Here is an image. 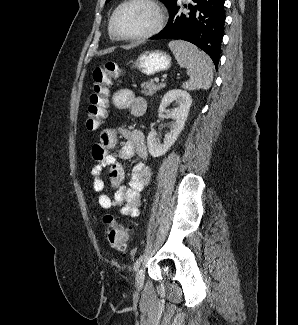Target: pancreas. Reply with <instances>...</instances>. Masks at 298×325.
I'll return each mask as SVG.
<instances>
[{"label": "pancreas", "instance_id": "pancreas-1", "mask_svg": "<svg viewBox=\"0 0 298 325\" xmlns=\"http://www.w3.org/2000/svg\"><path fill=\"white\" fill-rule=\"evenodd\" d=\"M165 82H154V80H149V82H142L141 84V94L143 96H153L157 90H161V88H165Z\"/></svg>", "mask_w": 298, "mask_h": 325}]
</instances>
